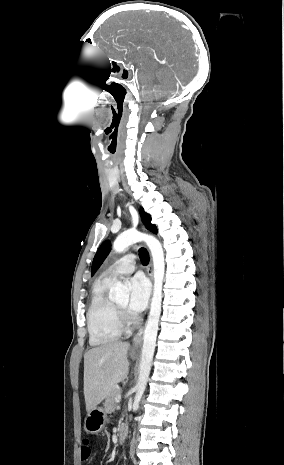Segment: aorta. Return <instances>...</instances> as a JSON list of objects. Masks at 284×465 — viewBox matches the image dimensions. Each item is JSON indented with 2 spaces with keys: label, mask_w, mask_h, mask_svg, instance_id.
<instances>
[{
  "label": "aorta",
  "mask_w": 284,
  "mask_h": 465,
  "mask_svg": "<svg viewBox=\"0 0 284 465\" xmlns=\"http://www.w3.org/2000/svg\"><path fill=\"white\" fill-rule=\"evenodd\" d=\"M144 241L148 246L153 259L154 289L151 301L150 313L143 335V346L139 366L138 381L135 386L133 408H138L142 395L145 391L148 377L151 370L154 355L156 337L158 332L159 319L162 304V286L165 274V260L162 245L158 239L135 230H129L119 235L114 243L113 249L121 253L134 243ZM110 296L117 302L127 301L129 289L126 285L117 281L110 290Z\"/></svg>",
  "instance_id": "obj_1"
}]
</instances>
